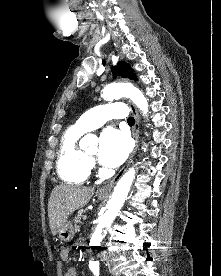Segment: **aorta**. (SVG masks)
I'll list each match as a JSON object with an SVG mask.
<instances>
[{
	"mask_svg": "<svg viewBox=\"0 0 221 276\" xmlns=\"http://www.w3.org/2000/svg\"><path fill=\"white\" fill-rule=\"evenodd\" d=\"M101 97L104 100H113L120 97H128L132 102L143 112L144 115L148 112V102L143 93L136 87L126 83L110 84L103 88ZM90 135H86L83 140H89ZM135 177V169L130 168L118 181L114 188L113 195L108 202L107 211L99 219V223L91 238L90 244L92 246H99L102 241V232L108 228L118 215L123 203L129 193L133 179ZM92 264H97V261H91Z\"/></svg>",
	"mask_w": 221,
	"mask_h": 276,
	"instance_id": "aorta-1",
	"label": "aorta"
}]
</instances>
